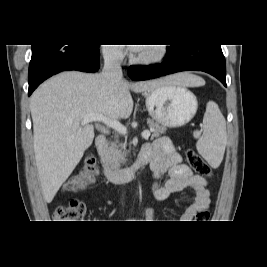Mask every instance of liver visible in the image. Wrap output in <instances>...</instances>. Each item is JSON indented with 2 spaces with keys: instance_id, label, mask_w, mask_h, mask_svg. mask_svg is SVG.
<instances>
[{
  "instance_id": "liver-1",
  "label": "liver",
  "mask_w": 267,
  "mask_h": 267,
  "mask_svg": "<svg viewBox=\"0 0 267 267\" xmlns=\"http://www.w3.org/2000/svg\"><path fill=\"white\" fill-rule=\"evenodd\" d=\"M205 81L190 73L129 84L108 81L102 74L63 72L43 83L30 99L34 153L42 193L50 203L80 162L94 139V126L82 124V116L102 114L110 119L128 118L133 110L129 90L143 92L162 85L203 86ZM95 127L104 133L105 127Z\"/></svg>"
}]
</instances>
